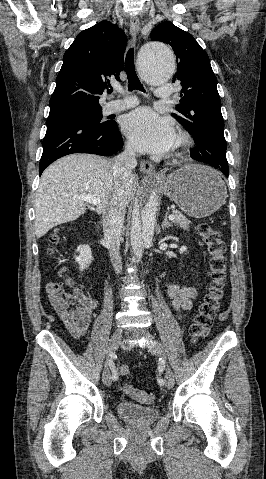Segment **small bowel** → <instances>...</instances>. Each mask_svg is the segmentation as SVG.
<instances>
[{
	"label": "small bowel",
	"mask_w": 266,
	"mask_h": 479,
	"mask_svg": "<svg viewBox=\"0 0 266 479\" xmlns=\"http://www.w3.org/2000/svg\"><path fill=\"white\" fill-rule=\"evenodd\" d=\"M63 284L70 287L72 292H65ZM166 288L172 306L180 319L183 311H189L192 308V301L197 296V290L193 287L180 286L174 283H168ZM46 292L51 308L70 332L75 337H83L91 326L93 312L97 308L96 301L76 286L70 277H65L63 283H48Z\"/></svg>",
	"instance_id": "1"
}]
</instances>
